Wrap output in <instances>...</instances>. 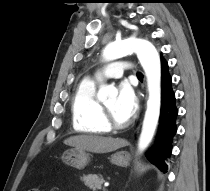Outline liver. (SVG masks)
<instances>
[{
    "mask_svg": "<svg viewBox=\"0 0 210 191\" xmlns=\"http://www.w3.org/2000/svg\"><path fill=\"white\" fill-rule=\"evenodd\" d=\"M64 144L76 149L94 153H107L126 146L128 143L121 138L103 137L97 135H78L64 140Z\"/></svg>",
    "mask_w": 210,
    "mask_h": 191,
    "instance_id": "1",
    "label": "liver"
}]
</instances>
